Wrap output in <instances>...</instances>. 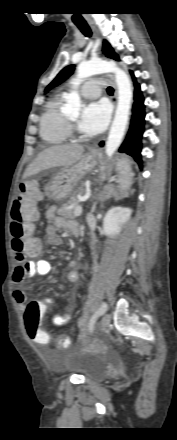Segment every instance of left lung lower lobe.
I'll return each mask as SVG.
<instances>
[{"label":"left lung lower lobe","instance_id":"obj_1","mask_svg":"<svg viewBox=\"0 0 177 440\" xmlns=\"http://www.w3.org/2000/svg\"><path fill=\"white\" fill-rule=\"evenodd\" d=\"M134 82V104L132 109V118L129 127V131L125 138V141L121 145L119 152L127 153L132 156L135 161L141 166V137L144 132V98L140 89V85L137 83L134 73L130 71ZM102 146L103 143H100Z\"/></svg>","mask_w":177,"mask_h":440}]
</instances>
